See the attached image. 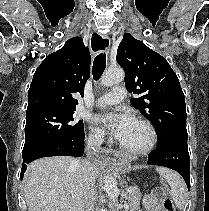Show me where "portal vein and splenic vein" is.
Returning a JSON list of instances; mask_svg holds the SVG:
<instances>
[{
    "instance_id": "1",
    "label": "portal vein and splenic vein",
    "mask_w": 209,
    "mask_h": 211,
    "mask_svg": "<svg viewBox=\"0 0 209 211\" xmlns=\"http://www.w3.org/2000/svg\"><path fill=\"white\" fill-rule=\"evenodd\" d=\"M131 190H132V188H128V189H127V193H129Z\"/></svg>"
}]
</instances>
